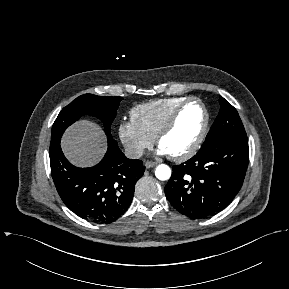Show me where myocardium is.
I'll return each instance as SVG.
<instances>
[{
  "mask_svg": "<svg viewBox=\"0 0 289 289\" xmlns=\"http://www.w3.org/2000/svg\"><path fill=\"white\" fill-rule=\"evenodd\" d=\"M192 102H197L201 106V108L204 112V122H203L201 131H200L197 139L187 150H185L184 152L178 153V154H168L169 157L175 161H184V160L191 158L192 156H194L198 152V150L202 146V144L206 138V135H207V132L209 129V123H210V114H209V111H208L205 103L200 98H197V97L186 98L183 102H181L175 108V110L169 116V118L167 119L165 124L162 126V128L159 130V132L156 136V143L160 147V144H161V141L163 140V138L167 134H169L171 132V130L174 128L182 110L189 103H192Z\"/></svg>",
  "mask_w": 289,
  "mask_h": 289,
  "instance_id": "myocardium-1",
  "label": "myocardium"
}]
</instances>
